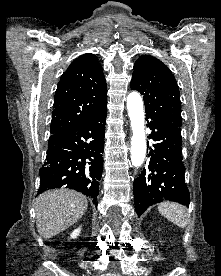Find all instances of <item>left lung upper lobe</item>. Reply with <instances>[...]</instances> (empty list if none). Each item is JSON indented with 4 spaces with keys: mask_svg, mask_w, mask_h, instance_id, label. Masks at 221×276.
Instances as JSON below:
<instances>
[{
    "mask_svg": "<svg viewBox=\"0 0 221 276\" xmlns=\"http://www.w3.org/2000/svg\"><path fill=\"white\" fill-rule=\"evenodd\" d=\"M130 87L143 95L147 118L181 129L179 88L164 63L150 55L140 56L134 64Z\"/></svg>",
    "mask_w": 221,
    "mask_h": 276,
    "instance_id": "left-lung-upper-lobe-1",
    "label": "left lung upper lobe"
}]
</instances>
